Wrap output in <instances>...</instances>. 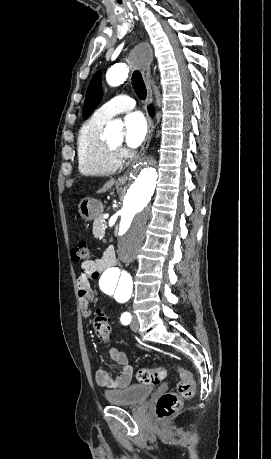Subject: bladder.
<instances>
[{
  "mask_svg": "<svg viewBox=\"0 0 271 459\" xmlns=\"http://www.w3.org/2000/svg\"><path fill=\"white\" fill-rule=\"evenodd\" d=\"M154 386L150 384H133L122 390L106 391V401L115 405H142L153 393Z\"/></svg>",
  "mask_w": 271,
  "mask_h": 459,
  "instance_id": "obj_1",
  "label": "bladder"
}]
</instances>
